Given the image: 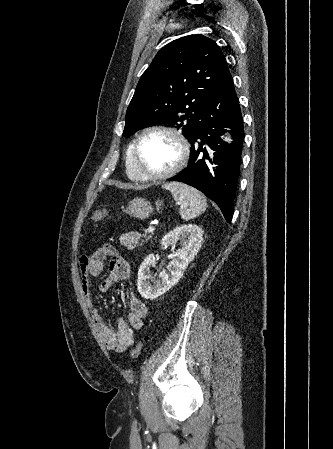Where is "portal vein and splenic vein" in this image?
<instances>
[{
    "mask_svg": "<svg viewBox=\"0 0 333 449\" xmlns=\"http://www.w3.org/2000/svg\"><path fill=\"white\" fill-rule=\"evenodd\" d=\"M154 227L153 226H149L147 229H146V232H148V233H152V232H154Z\"/></svg>",
    "mask_w": 333,
    "mask_h": 449,
    "instance_id": "obj_1",
    "label": "portal vein and splenic vein"
}]
</instances>
